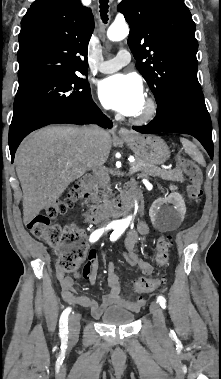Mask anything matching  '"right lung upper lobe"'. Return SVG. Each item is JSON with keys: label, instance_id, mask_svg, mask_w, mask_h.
<instances>
[{"label": "right lung upper lobe", "instance_id": "obj_1", "mask_svg": "<svg viewBox=\"0 0 221 379\" xmlns=\"http://www.w3.org/2000/svg\"><path fill=\"white\" fill-rule=\"evenodd\" d=\"M94 29L80 0H36L21 21L19 83L69 72H87V49Z\"/></svg>", "mask_w": 221, "mask_h": 379}]
</instances>
